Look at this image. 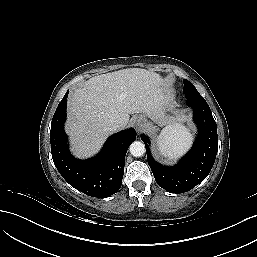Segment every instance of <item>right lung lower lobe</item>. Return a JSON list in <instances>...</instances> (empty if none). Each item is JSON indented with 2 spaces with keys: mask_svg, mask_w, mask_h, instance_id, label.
I'll list each match as a JSON object with an SVG mask.
<instances>
[{
  "mask_svg": "<svg viewBox=\"0 0 257 257\" xmlns=\"http://www.w3.org/2000/svg\"><path fill=\"white\" fill-rule=\"evenodd\" d=\"M68 91L59 103L51 123L50 142L54 164L61 176L75 189L92 197L106 198L116 193L124 174L125 155L135 140L133 128L111 135L101 152L78 160L69 152L64 132Z\"/></svg>",
  "mask_w": 257,
  "mask_h": 257,
  "instance_id": "obj_1",
  "label": "right lung lower lobe"
}]
</instances>
